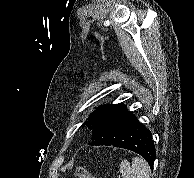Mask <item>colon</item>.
<instances>
[{"label":"colon","mask_w":194,"mask_h":178,"mask_svg":"<svg viewBox=\"0 0 194 178\" xmlns=\"http://www.w3.org/2000/svg\"><path fill=\"white\" fill-rule=\"evenodd\" d=\"M74 178H96L85 168L78 167L74 170Z\"/></svg>","instance_id":"5ec220e1"}]
</instances>
